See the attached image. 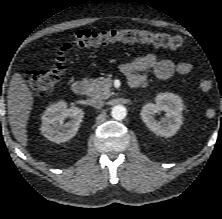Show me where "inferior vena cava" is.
Listing matches in <instances>:
<instances>
[{"label":"inferior vena cava","instance_id":"602c4592","mask_svg":"<svg viewBox=\"0 0 222 219\" xmlns=\"http://www.w3.org/2000/svg\"><path fill=\"white\" fill-rule=\"evenodd\" d=\"M88 104L96 109H100L103 107L104 102L101 99L98 98H90L88 100Z\"/></svg>","mask_w":222,"mask_h":219}]
</instances>
